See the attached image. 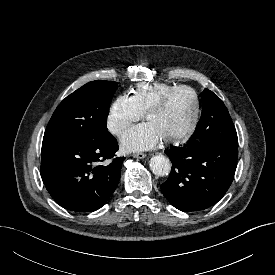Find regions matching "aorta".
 I'll return each instance as SVG.
<instances>
[{
  "mask_svg": "<svg viewBox=\"0 0 275 275\" xmlns=\"http://www.w3.org/2000/svg\"><path fill=\"white\" fill-rule=\"evenodd\" d=\"M149 165L151 171L157 176H166L171 171V162L163 155L153 156Z\"/></svg>",
  "mask_w": 275,
  "mask_h": 275,
  "instance_id": "obj_1",
  "label": "aorta"
}]
</instances>
